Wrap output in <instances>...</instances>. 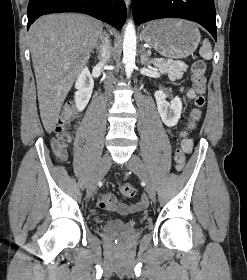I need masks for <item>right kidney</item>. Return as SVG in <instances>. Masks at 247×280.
<instances>
[{"instance_id":"ca27d5eb","label":"right kidney","mask_w":247,"mask_h":280,"mask_svg":"<svg viewBox=\"0 0 247 280\" xmlns=\"http://www.w3.org/2000/svg\"><path fill=\"white\" fill-rule=\"evenodd\" d=\"M93 86L94 81L88 68L85 67L79 74L75 83V88L77 91L75 92L74 97L78 111L84 110L87 106L92 94Z\"/></svg>"}]
</instances>
